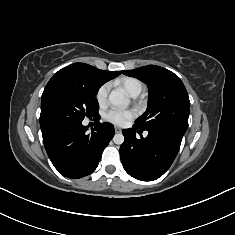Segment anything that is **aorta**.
<instances>
[{
  "label": "aorta",
  "mask_w": 235,
  "mask_h": 235,
  "mask_svg": "<svg viewBox=\"0 0 235 235\" xmlns=\"http://www.w3.org/2000/svg\"><path fill=\"white\" fill-rule=\"evenodd\" d=\"M109 102L114 106H125L129 105V99L125 95L122 89L112 90L109 94ZM113 142L117 145H121L124 142V136L122 133H117L113 137Z\"/></svg>",
  "instance_id": "aorta-1"
}]
</instances>
